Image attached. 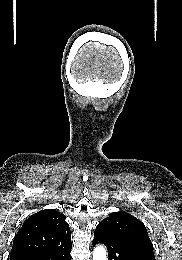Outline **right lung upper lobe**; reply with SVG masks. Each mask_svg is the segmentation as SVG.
<instances>
[{
	"label": "right lung upper lobe",
	"instance_id": "cb5924a9",
	"mask_svg": "<svg viewBox=\"0 0 182 260\" xmlns=\"http://www.w3.org/2000/svg\"><path fill=\"white\" fill-rule=\"evenodd\" d=\"M71 243L65 216L53 209L41 210L25 220L16 234L10 260L52 250Z\"/></svg>",
	"mask_w": 182,
	"mask_h": 260
}]
</instances>
